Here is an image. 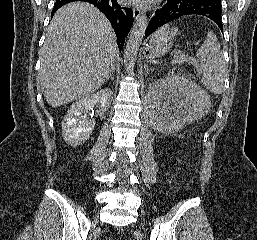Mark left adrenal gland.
<instances>
[{
	"mask_svg": "<svg viewBox=\"0 0 257 240\" xmlns=\"http://www.w3.org/2000/svg\"><path fill=\"white\" fill-rule=\"evenodd\" d=\"M145 67H146V73L148 74V72H149L150 68H149V66H148V65H145Z\"/></svg>",
	"mask_w": 257,
	"mask_h": 240,
	"instance_id": "a2214340",
	"label": "left adrenal gland"
}]
</instances>
